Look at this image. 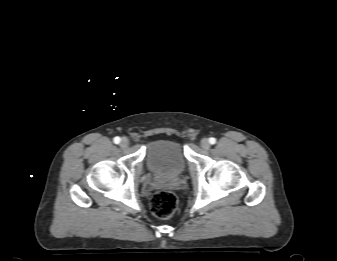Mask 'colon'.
<instances>
[{
    "instance_id": "5ec220e1",
    "label": "colon",
    "mask_w": 337,
    "mask_h": 261,
    "mask_svg": "<svg viewBox=\"0 0 337 261\" xmlns=\"http://www.w3.org/2000/svg\"><path fill=\"white\" fill-rule=\"evenodd\" d=\"M151 210L159 218H169L177 210L178 198L171 191H159L151 199Z\"/></svg>"
}]
</instances>
